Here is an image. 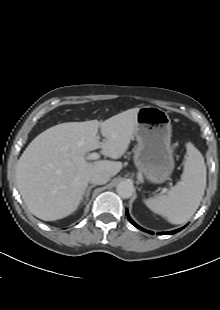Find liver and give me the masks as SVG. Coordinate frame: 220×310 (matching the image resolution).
Masks as SVG:
<instances>
[{
	"label": "liver",
	"instance_id": "obj_1",
	"mask_svg": "<svg viewBox=\"0 0 220 310\" xmlns=\"http://www.w3.org/2000/svg\"><path fill=\"white\" fill-rule=\"evenodd\" d=\"M140 108L111 118L55 125L32 140L16 164L18 190L29 211L44 221L65 218L77 210L95 173L115 176L122 163L87 162L86 154L98 148L118 159L128 150ZM100 128L104 142L97 136Z\"/></svg>",
	"mask_w": 220,
	"mask_h": 310
}]
</instances>
